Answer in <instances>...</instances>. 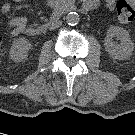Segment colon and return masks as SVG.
I'll return each mask as SVG.
<instances>
[{
  "label": "colon",
  "mask_w": 135,
  "mask_h": 135,
  "mask_svg": "<svg viewBox=\"0 0 135 135\" xmlns=\"http://www.w3.org/2000/svg\"><path fill=\"white\" fill-rule=\"evenodd\" d=\"M117 17L121 23H135V9L125 0L116 4ZM2 39L0 38V55H2Z\"/></svg>",
  "instance_id": "5ec220e1"
}]
</instances>
